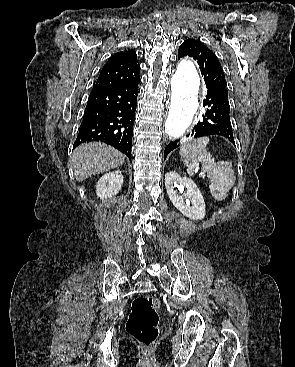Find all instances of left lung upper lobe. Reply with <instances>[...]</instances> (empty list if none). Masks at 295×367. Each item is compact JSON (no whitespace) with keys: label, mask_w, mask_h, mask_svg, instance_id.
<instances>
[{"label":"left lung upper lobe","mask_w":295,"mask_h":367,"mask_svg":"<svg viewBox=\"0 0 295 367\" xmlns=\"http://www.w3.org/2000/svg\"><path fill=\"white\" fill-rule=\"evenodd\" d=\"M184 56L193 57L201 70L206 83L226 88L225 74L216 55L202 42L196 39H186L178 50V59Z\"/></svg>","instance_id":"1"}]
</instances>
